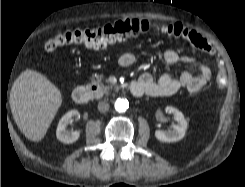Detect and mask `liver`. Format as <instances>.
<instances>
[{"label":"liver","mask_w":245,"mask_h":187,"mask_svg":"<svg viewBox=\"0 0 245 187\" xmlns=\"http://www.w3.org/2000/svg\"><path fill=\"white\" fill-rule=\"evenodd\" d=\"M62 104L60 90L33 70L22 72L10 92V107L20 131L31 141L42 140Z\"/></svg>","instance_id":"6515ba94"}]
</instances>
